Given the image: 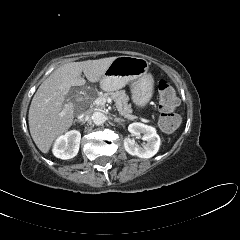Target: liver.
Listing matches in <instances>:
<instances>
[{
    "label": "liver",
    "instance_id": "obj_1",
    "mask_svg": "<svg viewBox=\"0 0 240 240\" xmlns=\"http://www.w3.org/2000/svg\"><path fill=\"white\" fill-rule=\"evenodd\" d=\"M115 59L67 63L43 81L32 99L28 115L30 134L41 152L48 153L53 141L71 127L75 105L65 102V96L71 87L86 83L82 72L88 81L98 82Z\"/></svg>",
    "mask_w": 240,
    "mask_h": 240
}]
</instances>
